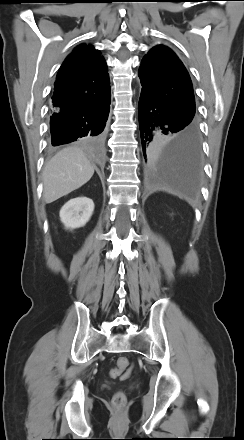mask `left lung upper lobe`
<instances>
[{
  "instance_id": "obj_1",
  "label": "left lung upper lobe",
  "mask_w": 244,
  "mask_h": 440,
  "mask_svg": "<svg viewBox=\"0 0 244 440\" xmlns=\"http://www.w3.org/2000/svg\"><path fill=\"white\" fill-rule=\"evenodd\" d=\"M142 89L168 104L197 126L192 82L177 55L164 45L153 47L139 68Z\"/></svg>"
}]
</instances>
